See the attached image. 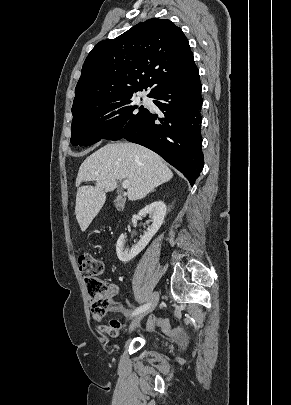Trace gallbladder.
<instances>
[{
  "label": "gallbladder",
  "instance_id": "gallbladder-1",
  "mask_svg": "<svg viewBox=\"0 0 291 405\" xmlns=\"http://www.w3.org/2000/svg\"><path fill=\"white\" fill-rule=\"evenodd\" d=\"M114 204H115V207H116L118 210H121V209H123V207H124V205H125V199L122 198V197H120V196H118V197L115 199Z\"/></svg>",
  "mask_w": 291,
  "mask_h": 405
}]
</instances>
